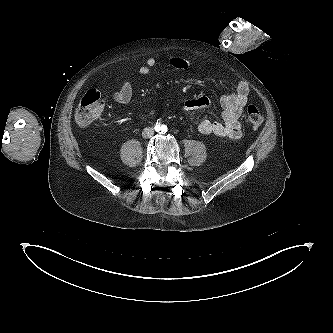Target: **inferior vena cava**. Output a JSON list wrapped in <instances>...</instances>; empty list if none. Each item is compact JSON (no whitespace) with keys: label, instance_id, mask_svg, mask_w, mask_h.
Here are the masks:
<instances>
[{"label":"inferior vena cava","instance_id":"inferior-vena-cava-1","mask_svg":"<svg viewBox=\"0 0 333 333\" xmlns=\"http://www.w3.org/2000/svg\"><path fill=\"white\" fill-rule=\"evenodd\" d=\"M154 134V130L151 127L143 129L142 136L144 138H151Z\"/></svg>","mask_w":333,"mask_h":333}]
</instances>
